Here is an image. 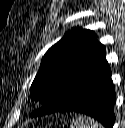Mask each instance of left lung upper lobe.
<instances>
[{
    "label": "left lung upper lobe",
    "instance_id": "obj_1",
    "mask_svg": "<svg viewBox=\"0 0 125 128\" xmlns=\"http://www.w3.org/2000/svg\"><path fill=\"white\" fill-rule=\"evenodd\" d=\"M104 55L105 46L93 31L77 27L65 34L46 52L31 85V99L46 103L31 117L65 106L86 72Z\"/></svg>",
    "mask_w": 125,
    "mask_h": 128
}]
</instances>
